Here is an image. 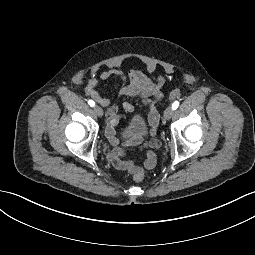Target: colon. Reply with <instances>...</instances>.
Returning <instances> with one entry per match:
<instances>
[{
    "instance_id": "1",
    "label": "colon",
    "mask_w": 255,
    "mask_h": 255,
    "mask_svg": "<svg viewBox=\"0 0 255 255\" xmlns=\"http://www.w3.org/2000/svg\"><path fill=\"white\" fill-rule=\"evenodd\" d=\"M180 94V91L178 89L173 90L170 94H169V101H172L174 99H176ZM146 177L145 171L144 170H137L134 174H133V179L136 182H142Z\"/></svg>"
}]
</instances>
